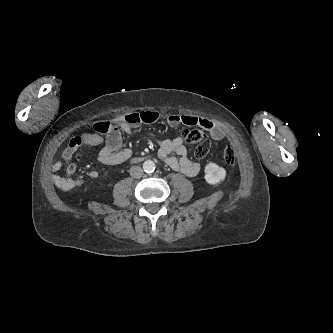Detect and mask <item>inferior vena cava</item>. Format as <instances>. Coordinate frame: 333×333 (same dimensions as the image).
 <instances>
[{"instance_id":"1","label":"inferior vena cava","mask_w":333,"mask_h":333,"mask_svg":"<svg viewBox=\"0 0 333 333\" xmlns=\"http://www.w3.org/2000/svg\"><path fill=\"white\" fill-rule=\"evenodd\" d=\"M130 175L133 178H140L143 175V170L140 166H133L130 168Z\"/></svg>"}]
</instances>
